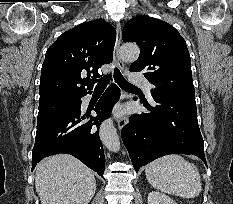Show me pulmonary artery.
<instances>
[{
  "mask_svg": "<svg viewBox=\"0 0 233 204\" xmlns=\"http://www.w3.org/2000/svg\"><path fill=\"white\" fill-rule=\"evenodd\" d=\"M130 81L134 84L142 86L144 90L150 95L152 85L145 77L140 75H131Z\"/></svg>",
  "mask_w": 233,
  "mask_h": 204,
  "instance_id": "obj_1",
  "label": "pulmonary artery"
}]
</instances>
